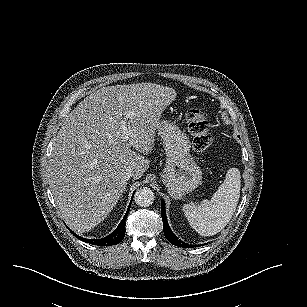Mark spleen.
Returning a JSON list of instances; mask_svg holds the SVG:
<instances>
[{"mask_svg": "<svg viewBox=\"0 0 307 307\" xmlns=\"http://www.w3.org/2000/svg\"><path fill=\"white\" fill-rule=\"evenodd\" d=\"M240 192L241 173L238 168H231L210 200H204L200 205L186 204L183 211L198 234L203 237L214 236L232 219Z\"/></svg>", "mask_w": 307, "mask_h": 307, "instance_id": "3e777b00", "label": "spleen"}]
</instances>
